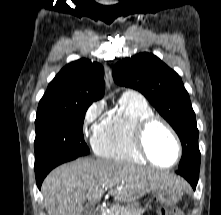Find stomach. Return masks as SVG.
<instances>
[{"mask_svg": "<svg viewBox=\"0 0 221 215\" xmlns=\"http://www.w3.org/2000/svg\"><path fill=\"white\" fill-rule=\"evenodd\" d=\"M181 190L175 187H164L151 191V199L146 204V208H151V201L155 204L163 206H173L181 200ZM131 212L137 211V205L131 204L128 206Z\"/></svg>", "mask_w": 221, "mask_h": 215, "instance_id": "1", "label": "stomach"}]
</instances>
